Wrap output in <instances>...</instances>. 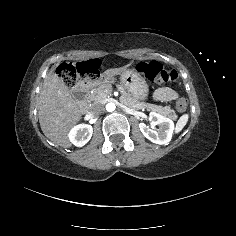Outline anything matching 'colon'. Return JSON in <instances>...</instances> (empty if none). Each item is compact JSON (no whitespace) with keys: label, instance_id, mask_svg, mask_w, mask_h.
<instances>
[{"label":"colon","instance_id":"obj_1","mask_svg":"<svg viewBox=\"0 0 236 236\" xmlns=\"http://www.w3.org/2000/svg\"><path fill=\"white\" fill-rule=\"evenodd\" d=\"M96 69L97 66L95 62L88 64L69 63L60 65L57 73L65 85L73 86L82 75ZM137 71L148 80L159 84L176 82L179 78L178 73L175 70H166L156 61H143L138 63ZM187 105V99L181 97L176 103V109L178 112L182 113L187 109Z\"/></svg>","mask_w":236,"mask_h":236}]
</instances>
